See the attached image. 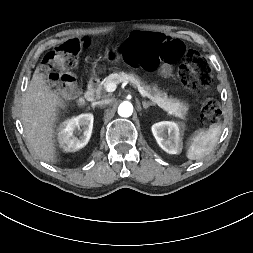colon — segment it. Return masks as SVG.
Returning a JSON list of instances; mask_svg holds the SVG:
<instances>
[{"instance_id":"obj_1","label":"colon","mask_w":253,"mask_h":253,"mask_svg":"<svg viewBox=\"0 0 253 253\" xmlns=\"http://www.w3.org/2000/svg\"><path fill=\"white\" fill-rule=\"evenodd\" d=\"M82 48L80 40L67 41L49 51L43 58L47 79L63 94L76 92L75 77L69 71L77 62ZM125 61L132 66L153 68L158 58L179 62L177 82L189 91L208 87L212 71L207 60L196 50L187 49L177 39H165L161 34L132 33L122 45ZM221 117V109L213 98H206L201 107L204 123L214 125Z\"/></svg>"}]
</instances>
